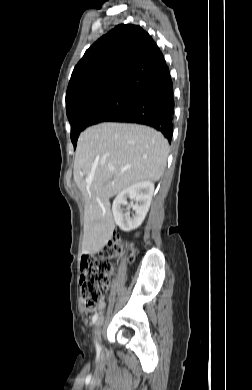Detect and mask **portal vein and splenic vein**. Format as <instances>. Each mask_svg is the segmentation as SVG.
Returning <instances> with one entry per match:
<instances>
[{"label":"portal vein and splenic vein","instance_id":"portal-vein-and-splenic-vein-1","mask_svg":"<svg viewBox=\"0 0 252 390\" xmlns=\"http://www.w3.org/2000/svg\"><path fill=\"white\" fill-rule=\"evenodd\" d=\"M85 181H86L87 183H91V182H92V178H85Z\"/></svg>","mask_w":252,"mask_h":390}]
</instances>
